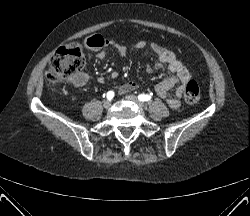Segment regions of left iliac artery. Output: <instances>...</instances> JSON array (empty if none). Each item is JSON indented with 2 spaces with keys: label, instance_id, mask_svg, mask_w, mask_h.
Here are the masks:
<instances>
[{
  "label": "left iliac artery",
  "instance_id": "obj_1",
  "mask_svg": "<svg viewBox=\"0 0 250 216\" xmlns=\"http://www.w3.org/2000/svg\"><path fill=\"white\" fill-rule=\"evenodd\" d=\"M138 99L142 102L145 101H150L151 100V96L150 95H145V94H140L138 95Z\"/></svg>",
  "mask_w": 250,
  "mask_h": 216
}]
</instances>
